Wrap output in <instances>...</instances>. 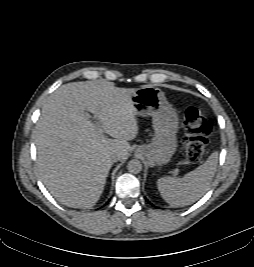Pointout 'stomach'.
<instances>
[{"instance_id":"stomach-1","label":"stomach","mask_w":254,"mask_h":267,"mask_svg":"<svg viewBox=\"0 0 254 267\" xmlns=\"http://www.w3.org/2000/svg\"><path fill=\"white\" fill-rule=\"evenodd\" d=\"M136 114L152 117L154 137L149 144L141 145L136 153L150 165L163 166L170 162L177 149L179 118L176 110L167 101L164 92L153 86L138 88L131 95Z\"/></svg>"}]
</instances>
